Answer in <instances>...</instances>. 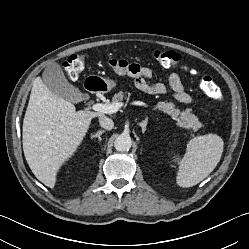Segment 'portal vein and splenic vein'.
I'll return each instance as SVG.
<instances>
[{
	"mask_svg": "<svg viewBox=\"0 0 249 249\" xmlns=\"http://www.w3.org/2000/svg\"><path fill=\"white\" fill-rule=\"evenodd\" d=\"M131 104L136 106H144V107L148 106L146 103L142 101H133L131 102ZM122 106H124V103L122 102H117L113 104L96 103L92 105V109L98 112L112 114L116 113Z\"/></svg>",
	"mask_w": 249,
	"mask_h": 249,
	"instance_id": "1",
	"label": "portal vein and splenic vein"
}]
</instances>
